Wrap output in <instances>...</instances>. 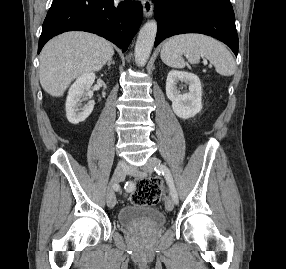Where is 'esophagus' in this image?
<instances>
[{"label":"esophagus","mask_w":286,"mask_h":269,"mask_svg":"<svg viewBox=\"0 0 286 269\" xmlns=\"http://www.w3.org/2000/svg\"><path fill=\"white\" fill-rule=\"evenodd\" d=\"M143 13L145 17H150L153 14V3L151 0H144L142 2Z\"/></svg>","instance_id":"esophagus-1"}]
</instances>
